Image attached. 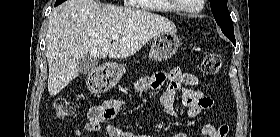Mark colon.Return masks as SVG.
Returning <instances> with one entry per match:
<instances>
[{
    "label": "colon",
    "instance_id": "colon-1",
    "mask_svg": "<svg viewBox=\"0 0 280 137\" xmlns=\"http://www.w3.org/2000/svg\"><path fill=\"white\" fill-rule=\"evenodd\" d=\"M222 66L221 56L218 53H208L200 64V72L204 76H215ZM55 114L60 119L68 118L74 112L75 106L69 100L59 97L53 103ZM229 131L227 124L218 127H209L204 130L207 137H226Z\"/></svg>",
    "mask_w": 280,
    "mask_h": 137
}]
</instances>
